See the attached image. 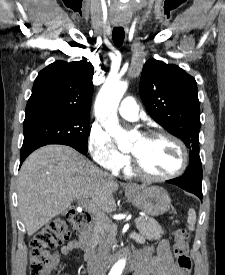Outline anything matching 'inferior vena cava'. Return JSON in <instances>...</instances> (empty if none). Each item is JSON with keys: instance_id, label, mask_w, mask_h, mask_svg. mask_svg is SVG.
I'll return each mask as SVG.
<instances>
[{"instance_id": "1", "label": "inferior vena cava", "mask_w": 225, "mask_h": 275, "mask_svg": "<svg viewBox=\"0 0 225 275\" xmlns=\"http://www.w3.org/2000/svg\"><path fill=\"white\" fill-rule=\"evenodd\" d=\"M109 257V249L106 245L102 246L99 252L98 263L92 275H106V261Z\"/></svg>"}]
</instances>
